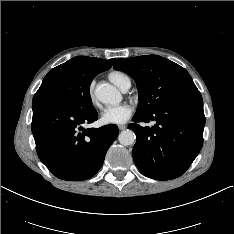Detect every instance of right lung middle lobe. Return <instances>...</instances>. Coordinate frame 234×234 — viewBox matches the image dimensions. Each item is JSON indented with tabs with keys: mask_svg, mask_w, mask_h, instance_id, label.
I'll use <instances>...</instances> for the list:
<instances>
[{
	"mask_svg": "<svg viewBox=\"0 0 234 234\" xmlns=\"http://www.w3.org/2000/svg\"><path fill=\"white\" fill-rule=\"evenodd\" d=\"M97 74L83 71L70 59L48 72L33 97L32 105L58 103L76 110L92 109L89 88Z\"/></svg>",
	"mask_w": 234,
	"mask_h": 234,
	"instance_id": "right-lung-middle-lobe-1",
	"label": "right lung middle lobe"
}]
</instances>
